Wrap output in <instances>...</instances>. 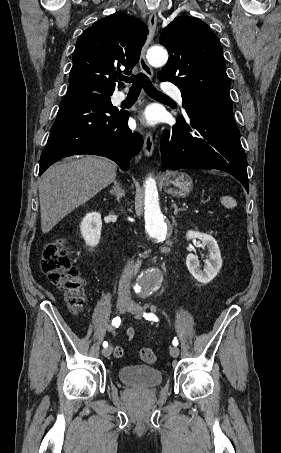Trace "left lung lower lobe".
Instances as JSON below:
<instances>
[{
	"label": "left lung lower lobe",
	"instance_id": "left-lung-lower-lobe-1",
	"mask_svg": "<svg viewBox=\"0 0 281 453\" xmlns=\"http://www.w3.org/2000/svg\"><path fill=\"white\" fill-rule=\"evenodd\" d=\"M183 116L165 130L160 148L164 169H219L239 180L249 192L247 160L231 103L189 104Z\"/></svg>",
	"mask_w": 281,
	"mask_h": 453
}]
</instances>
